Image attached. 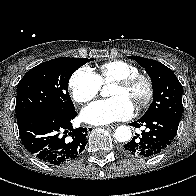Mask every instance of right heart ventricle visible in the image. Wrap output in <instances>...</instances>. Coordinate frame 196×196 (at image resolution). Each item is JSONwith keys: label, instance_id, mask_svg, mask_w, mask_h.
I'll list each match as a JSON object with an SVG mask.
<instances>
[{"label": "right heart ventricle", "instance_id": "right-heart-ventricle-1", "mask_svg": "<svg viewBox=\"0 0 196 196\" xmlns=\"http://www.w3.org/2000/svg\"><path fill=\"white\" fill-rule=\"evenodd\" d=\"M137 73L139 69L134 64L124 60H112L100 65L96 75L100 84H106Z\"/></svg>", "mask_w": 196, "mask_h": 196}]
</instances>
